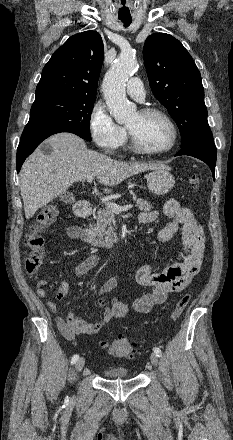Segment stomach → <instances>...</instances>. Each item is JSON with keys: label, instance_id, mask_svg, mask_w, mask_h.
I'll return each instance as SVG.
<instances>
[{"label": "stomach", "instance_id": "0dacf381", "mask_svg": "<svg viewBox=\"0 0 233 440\" xmlns=\"http://www.w3.org/2000/svg\"><path fill=\"white\" fill-rule=\"evenodd\" d=\"M175 185L173 175L167 169H155L147 175V186L156 195L167 194Z\"/></svg>", "mask_w": 233, "mask_h": 440}]
</instances>
